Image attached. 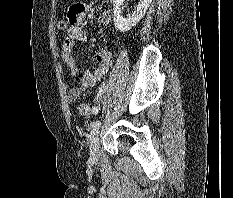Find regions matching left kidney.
Here are the masks:
<instances>
[{
  "label": "left kidney",
  "mask_w": 233,
  "mask_h": 198,
  "mask_svg": "<svg viewBox=\"0 0 233 198\" xmlns=\"http://www.w3.org/2000/svg\"><path fill=\"white\" fill-rule=\"evenodd\" d=\"M124 1L125 0H113L114 25L120 32H126L134 27L143 18L152 2V0H139L135 11L129 15L128 18H125L122 15Z\"/></svg>",
  "instance_id": "obj_1"
}]
</instances>
